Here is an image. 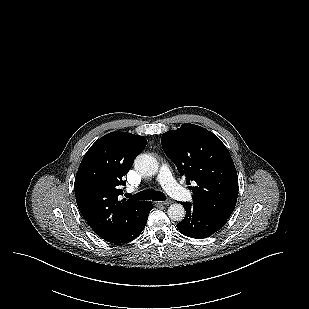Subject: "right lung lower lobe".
I'll list each match as a JSON object with an SVG mask.
<instances>
[{"label": "right lung lower lobe", "mask_w": 309, "mask_h": 309, "mask_svg": "<svg viewBox=\"0 0 309 309\" xmlns=\"http://www.w3.org/2000/svg\"><path fill=\"white\" fill-rule=\"evenodd\" d=\"M151 210L152 203L146 202L141 211V214L137 217L135 221L128 225L122 232L114 236L104 238V240L113 244H123L134 240L143 231L147 222L148 214Z\"/></svg>", "instance_id": "98d812e1"}]
</instances>
